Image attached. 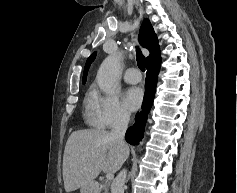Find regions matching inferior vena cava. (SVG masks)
<instances>
[{"label":"inferior vena cava","mask_w":237,"mask_h":193,"mask_svg":"<svg viewBox=\"0 0 237 193\" xmlns=\"http://www.w3.org/2000/svg\"><path fill=\"white\" fill-rule=\"evenodd\" d=\"M130 120V115L127 112H120L113 124V128L110 132V136L119 141V143L126 148L124 142V135L128 128V123ZM126 181V170H122L116 178L113 180L111 185V193H124V185Z\"/></svg>","instance_id":"1"}]
</instances>
